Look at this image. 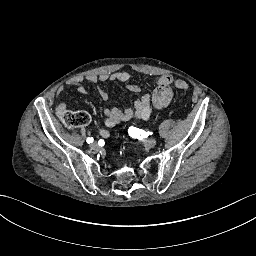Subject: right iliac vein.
Segmentation results:
<instances>
[{
  "mask_svg": "<svg viewBox=\"0 0 256 256\" xmlns=\"http://www.w3.org/2000/svg\"><path fill=\"white\" fill-rule=\"evenodd\" d=\"M91 148L95 151H99L100 150V146L97 142H92L91 143Z\"/></svg>",
  "mask_w": 256,
  "mask_h": 256,
  "instance_id": "right-iliac-vein-1",
  "label": "right iliac vein"
}]
</instances>
